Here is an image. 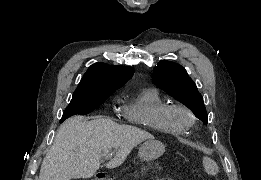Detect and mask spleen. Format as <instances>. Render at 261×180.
Listing matches in <instances>:
<instances>
[{"label": "spleen", "mask_w": 261, "mask_h": 180, "mask_svg": "<svg viewBox=\"0 0 261 180\" xmlns=\"http://www.w3.org/2000/svg\"><path fill=\"white\" fill-rule=\"evenodd\" d=\"M206 172H207V174H212V176H215V174H218L219 170H218L217 166H214V164H212V162H209V166H207Z\"/></svg>", "instance_id": "1"}]
</instances>
